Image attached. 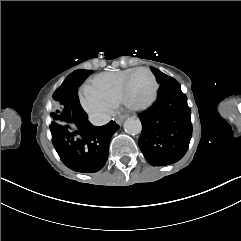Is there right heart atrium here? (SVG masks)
Segmentation results:
<instances>
[{
    "label": "right heart atrium",
    "mask_w": 241,
    "mask_h": 241,
    "mask_svg": "<svg viewBox=\"0 0 241 241\" xmlns=\"http://www.w3.org/2000/svg\"><path fill=\"white\" fill-rule=\"evenodd\" d=\"M78 96L81 107L95 124L100 127H107L110 124L108 115L113 113L115 105L105 96L97 93V88L93 84H86L79 90Z\"/></svg>",
    "instance_id": "1"
}]
</instances>
